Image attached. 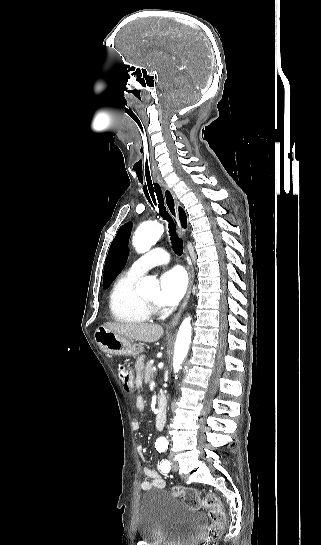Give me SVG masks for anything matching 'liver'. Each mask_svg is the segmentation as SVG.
<instances>
[{
  "label": "liver",
  "instance_id": "6515ba94",
  "mask_svg": "<svg viewBox=\"0 0 321 545\" xmlns=\"http://www.w3.org/2000/svg\"><path fill=\"white\" fill-rule=\"evenodd\" d=\"M103 327L109 329L111 333H117L120 337H126L131 341H143V343H155L164 333L161 325H153V323H105Z\"/></svg>",
  "mask_w": 321,
  "mask_h": 545
}]
</instances>
